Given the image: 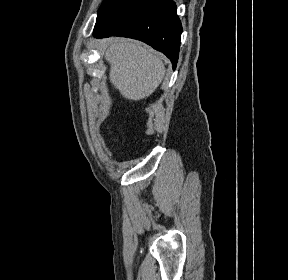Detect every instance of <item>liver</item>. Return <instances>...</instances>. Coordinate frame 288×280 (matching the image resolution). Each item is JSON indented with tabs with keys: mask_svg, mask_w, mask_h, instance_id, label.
<instances>
[{
	"mask_svg": "<svg viewBox=\"0 0 288 280\" xmlns=\"http://www.w3.org/2000/svg\"><path fill=\"white\" fill-rule=\"evenodd\" d=\"M110 63V82L123 97L140 100L150 96L165 75L162 60L139 42L121 39L105 53Z\"/></svg>",
	"mask_w": 288,
	"mask_h": 280,
	"instance_id": "obj_1",
	"label": "liver"
}]
</instances>
